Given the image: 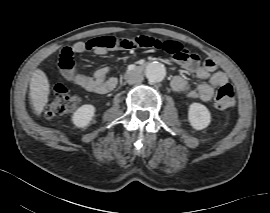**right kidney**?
<instances>
[{
	"label": "right kidney",
	"instance_id": "ca27d5eb",
	"mask_svg": "<svg viewBox=\"0 0 270 213\" xmlns=\"http://www.w3.org/2000/svg\"><path fill=\"white\" fill-rule=\"evenodd\" d=\"M95 113V107L91 104H85L79 107L73 114L72 121L75 126L83 128L92 120Z\"/></svg>",
	"mask_w": 270,
	"mask_h": 213
}]
</instances>
